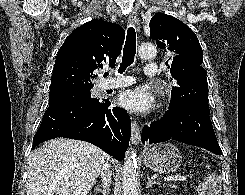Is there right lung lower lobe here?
I'll return each instance as SVG.
<instances>
[{
    "mask_svg": "<svg viewBox=\"0 0 245 195\" xmlns=\"http://www.w3.org/2000/svg\"><path fill=\"white\" fill-rule=\"evenodd\" d=\"M127 112L108 99L85 98L49 105L32 149L57 137L90 142L122 161L131 136Z\"/></svg>",
    "mask_w": 245,
    "mask_h": 195,
    "instance_id": "right-lung-lower-lobe-1",
    "label": "right lung lower lobe"
}]
</instances>
